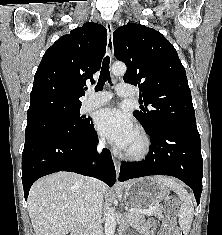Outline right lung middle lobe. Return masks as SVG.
I'll use <instances>...</instances> for the list:
<instances>
[{
	"instance_id": "dd1d6c3e",
	"label": "right lung middle lobe",
	"mask_w": 222,
	"mask_h": 235,
	"mask_svg": "<svg viewBox=\"0 0 222 235\" xmlns=\"http://www.w3.org/2000/svg\"><path fill=\"white\" fill-rule=\"evenodd\" d=\"M80 107L81 104L68 105L27 118L25 143L51 134L73 135L84 129L89 119L80 117Z\"/></svg>"
}]
</instances>
